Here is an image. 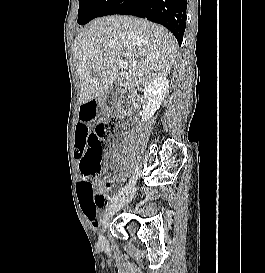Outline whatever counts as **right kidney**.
I'll list each match as a JSON object with an SVG mask.
<instances>
[{
    "label": "right kidney",
    "instance_id": "ca27d5eb",
    "mask_svg": "<svg viewBox=\"0 0 265 273\" xmlns=\"http://www.w3.org/2000/svg\"><path fill=\"white\" fill-rule=\"evenodd\" d=\"M169 88V81L166 77H160L150 81L144 86V98L147 105L142 115V122L149 120L160 108Z\"/></svg>",
    "mask_w": 265,
    "mask_h": 273
}]
</instances>
